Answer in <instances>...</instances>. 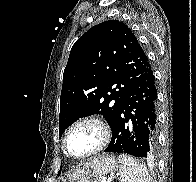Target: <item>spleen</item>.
<instances>
[{
  "instance_id": "1",
  "label": "spleen",
  "mask_w": 196,
  "mask_h": 182,
  "mask_svg": "<svg viewBox=\"0 0 196 182\" xmlns=\"http://www.w3.org/2000/svg\"><path fill=\"white\" fill-rule=\"evenodd\" d=\"M118 161L120 182H151L147 169L133 157L120 154Z\"/></svg>"
}]
</instances>
